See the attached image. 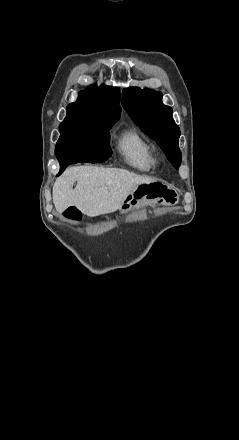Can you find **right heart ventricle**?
<instances>
[{"mask_svg":"<svg viewBox=\"0 0 239 440\" xmlns=\"http://www.w3.org/2000/svg\"><path fill=\"white\" fill-rule=\"evenodd\" d=\"M115 149L122 161L139 172H152L157 166L154 150L149 141L138 131L120 133L114 140Z\"/></svg>","mask_w":239,"mask_h":440,"instance_id":"e07e8e85","label":"right heart ventricle"}]
</instances>
